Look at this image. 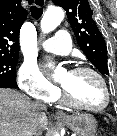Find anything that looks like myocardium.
<instances>
[{
    "mask_svg": "<svg viewBox=\"0 0 117 136\" xmlns=\"http://www.w3.org/2000/svg\"><path fill=\"white\" fill-rule=\"evenodd\" d=\"M72 73H81V72H89L92 73L93 75H95L98 80L100 81L102 87H103V91H104V102L102 105L100 106H87L81 103L76 102L71 95L67 92V90L62 86V97L64 99V101L76 108V109H80V110H84V111H89V112H99L102 111L104 109H106L110 103L111 100V94H110V89L109 86L107 84V81L105 80V78L103 77V75L96 69L89 67V66H77L75 68H73L71 70Z\"/></svg>",
    "mask_w": 117,
    "mask_h": 136,
    "instance_id": "myocardium-1",
    "label": "myocardium"
}]
</instances>
